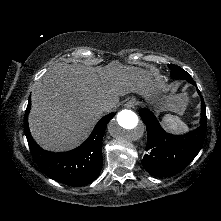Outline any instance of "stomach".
Masks as SVG:
<instances>
[{
    "instance_id": "obj_1",
    "label": "stomach",
    "mask_w": 221,
    "mask_h": 221,
    "mask_svg": "<svg viewBox=\"0 0 221 221\" xmlns=\"http://www.w3.org/2000/svg\"><path fill=\"white\" fill-rule=\"evenodd\" d=\"M163 101H164V100H161L160 103H159V105H163ZM159 105H158V106H159Z\"/></svg>"
}]
</instances>
